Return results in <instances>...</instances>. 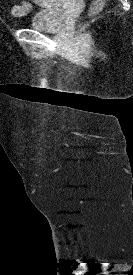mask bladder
<instances>
[{
	"mask_svg": "<svg viewBox=\"0 0 133 275\" xmlns=\"http://www.w3.org/2000/svg\"><path fill=\"white\" fill-rule=\"evenodd\" d=\"M51 6L35 11L29 20L28 26L31 29L44 32H57L64 21V14L61 4L63 0H52Z\"/></svg>",
	"mask_w": 133,
	"mask_h": 275,
	"instance_id": "obj_1",
	"label": "bladder"
}]
</instances>
